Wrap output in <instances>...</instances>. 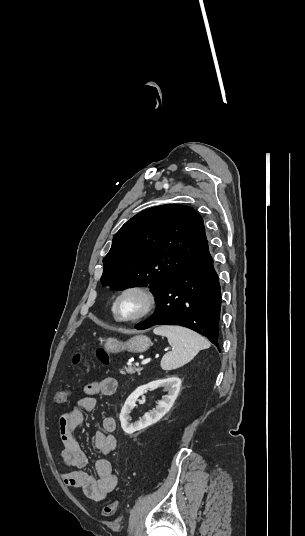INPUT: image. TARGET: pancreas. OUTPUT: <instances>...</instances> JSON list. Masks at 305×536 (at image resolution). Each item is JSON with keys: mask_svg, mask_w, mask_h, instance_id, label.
<instances>
[{"mask_svg": "<svg viewBox=\"0 0 305 536\" xmlns=\"http://www.w3.org/2000/svg\"><path fill=\"white\" fill-rule=\"evenodd\" d=\"M142 368H136V366H133V364H128L127 366H124L123 370H120V374H135V372H138L140 374Z\"/></svg>", "mask_w": 305, "mask_h": 536, "instance_id": "obj_1", "label": "pancreas"}]
</instances>
